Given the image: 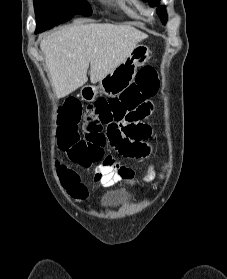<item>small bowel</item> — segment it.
I'll return each mask as SVG.
<instances>
[{"label": "small bowel", "mask_w": 227, "mask_h": 279, "mask_svg": "<svg viewBox=\"0 0 227 279\" xmlns=\"http://www.w3.org/2000/svg\"><path fill=\"white\" fill-rule=\"evenodd\" d=\"M132 144V140L127 138L123 132L111 140V145L114 149L118 150L119 153L128 157V147ZM65 170H69L65 167L60 171V174H63ZM135 177V171L133 168L119 165L116 159L112 156L104 157L100 164L95 168L93 173V181L99 183L104 187H111L118 182L132 183ZM152 178V167L148 168L146 173L143 175L142 180L145 182L150 181ZM87 196V190L82 188L77 192V197L79 199H84Z\"/></svg>", "instance_id": "c3829d8e"}]
</instances>
